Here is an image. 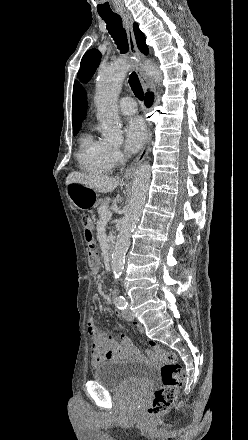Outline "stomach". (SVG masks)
<instances>
[{"mask_svg": "<svg viewBox=\"0 0 248 440\" xmlns=\"http://www.w3.org/2000/svg\"><path fill=\"white\" fill-rule=\"evenodd\" d=\"M67 195L73 205L84 210L98 205V195L95 190L79 183H71L66 188Z\"/></svg>", "mask_w": 248, "mask_h": 440, "instance_id": "stomach-1", "label": "stomach"}]
</instances>
